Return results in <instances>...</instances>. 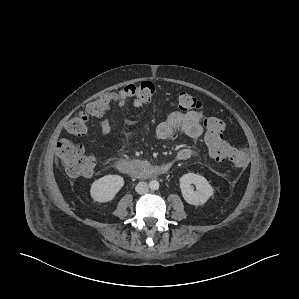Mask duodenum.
I'll return each mask as SVG.
<instances>
[{"instance_id": "410a0bca", "label": "duodenum", "mask_w": 299, "mask_h": 299, "mask_svg": "<svg viewBox=\"0 0 299 299\" xmlns=\"http://www.w3.org/2000/svg\"><path fill=\"white\" fill-rule=\"evenodd\" d=\"M120 173L137 178L156 177L167 173L168 169L161 165H152L145 160H119L116 164Z\"/></svg>"}]
</instances>
